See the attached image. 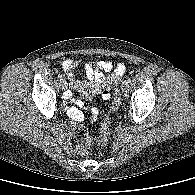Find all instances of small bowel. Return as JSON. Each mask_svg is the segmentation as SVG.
<instances>
[{"instance_id":"c3829d8e","label":"small bowel","mask_w":195,"mask_h":195,"mask_svg":"<svg viewBox=\"0 0 195 195\" xmlns=\"http://www.w3.org/2000/svg\"><path fill=\"white\" fill-rule=\"evenodd\" d=\"M78 62L74 60H66L62 63L63 70L70 78V86L79 91L85 97H91L101 94L104 101L110 99V88L116 84L125 71V66L122 63L116 65L114 72L110 76H104L102 71H110L113 68V64L109 60H102L98 62L90 61L85 63L84 70L88 78V81L74 80V70L78 66ZM64 99L66 101L74 102L75 106H66V113L71 123H78L84 120V113L80 108L83 107V103L79 100H74L72 92L67 91L64 93ZM93 120L97 119L103 110L99 108H91L88 110Z\"/></svg>"}]
</instances>
